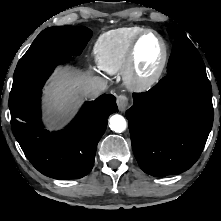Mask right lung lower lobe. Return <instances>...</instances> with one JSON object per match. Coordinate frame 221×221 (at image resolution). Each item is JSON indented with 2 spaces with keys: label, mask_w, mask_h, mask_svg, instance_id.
<instances>
[{
  "label": "right lung lower lobe",
  "mask_w": 221,
  "mask_h": 221,
  "mask_svg": "<svg viewBox=\"0 0 221 221\" xmlns=\"http://www.w3.org/2000/svg\"><path fill=\"white\" fill-rule=\"evenodd\" d=\"M41 90L10 108L11 127L25 156L42 174L54 179H78L94 163L97 144L104 134L107 118L117 112L116 98L104 94L86 102L64 130L43 128L40 118Z\"/></svg>",
  "instance_id": "98d812e1"
}]
</instances>
